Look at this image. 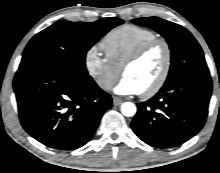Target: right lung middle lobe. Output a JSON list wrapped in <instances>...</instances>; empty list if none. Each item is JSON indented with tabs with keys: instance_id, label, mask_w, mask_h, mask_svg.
Returning a JSON list of instances; mask_svg holds the SVG:
<instances>
[{
	"instance_id": "right-lung-middle-lobe-1",
	"label": "right lung middle lobe",
	"mask_w": 220,
	"mask_h": 173,
	"mask_svg": "<svg viewBox=\"0 0 220 173\" xmlns=\"http://www.w3.org/2000/svg\"><path fill=\"white\" fill-rule=\"evenodd\" d=\"M122 23L123 20L114 17L96 22L58 21L31 39L19 68L54 67L73 76H86L87 51L108 31Z\"/></svg>"
}]
</instances>
